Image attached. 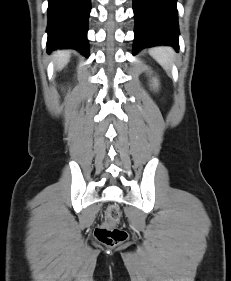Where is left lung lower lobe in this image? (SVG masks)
<instances>
[{"mask_svg":"<svg viewBox=\"0 0 231 281\" xmlns=\"http://www.w3.org/2000/svg\"><path fill=\"white\" fill-rule=\"evenodd\" d=\"M135 13L134 53L165 44L179 49L176 0H133Z\"/></svg>","mask_w":231,"mask_h":281,"instance_id":"left-lung-lower-lobe-1","label":"left lung lower lobe"}]
</instances>
